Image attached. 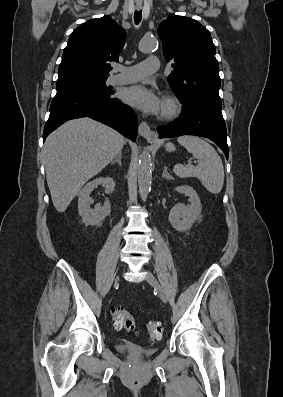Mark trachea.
<instances>
[{"instance_id": "1", "label": "trachea", "mask_w": 283, "mask_h": 397, "mask_svg": "<svg viewBox=\"0 0 283 397\" xmlns=\"http://www.w3.org/2000/svg\"><path fill=\"white\" fill-rule=\"evenodd\" d=\"M142 19V11H135L134 13V21L136 24H139Z\"/></svg>"}]
</instances>
